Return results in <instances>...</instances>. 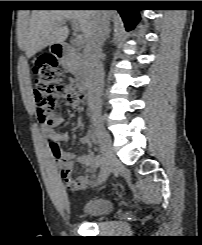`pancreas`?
<instances>
[{
    "mask_svg": "<svg viewBox=\"0 0 202 245\" xmlns=\"http://www.w3.org/2000/svg\"><path fill=\"white\" fill-rule=\"evenodd\" d=\"M62 66L66 68L69 72L75 74L80 68V62L74 55H69L62 61Z\"/></svg>",
    "mask_w": 202,
    "mask_h": 245,
    "instance_id": "obj_1",
    "label": "pancreas"
}]
</instances>
